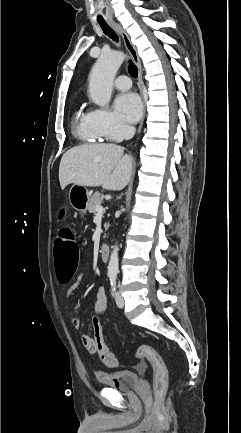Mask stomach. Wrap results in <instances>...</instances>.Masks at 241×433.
Listing matches in <instances>:
<instances>
[{
    "mask_svg": "<svg viewBox=\"0 0 241 433\" xmlns=\"http://www.w3.org/2000/svg\"><path fill=\"white\" fill-rule=\"evenodd\" d=\"M90 193L86 187L73 185L69 190V202L71 206L80 213H85L88 209Z\"/></svg>",
    "mask_w": 241,
    "mask_h": 433,
    "instance_id": "0dacf381",
    "label": "stomach"
}]
</instances>
